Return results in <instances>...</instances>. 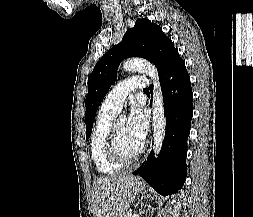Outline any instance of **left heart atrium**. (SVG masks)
<instances>
[{
	"instance_id": "left-heart-atrium-1",
	"label": "left heart atrium",
	"mask_w": 253,
	"mask_h": 217,
	"mask_svg": "<svg viewBox=\"0 0 253 217\" xmlns=\"http://www.w3.org/2000/svg\"><path fill=\"white\" fill-rule=\"evenodd\" d=\"M127 128L131 135L143 144L148 132V122L138 106H134L131 109L127 122Z\"/></svg>"
}]
</instances>
